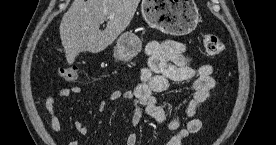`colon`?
<instances>
[{"mask_svg": "<svg viewBox=\"0 0 276 145\" xmlns=\"http://www.w3.org/2000/svg\"><path fill=\"white\" fill-rule=\"evenodd\" d=\"M202 42L206 53L209 55H218L224 50L223 42L214 34L204 33ZM59 74L65 80L71 82L77 81L80 76V72L76 67L61 68Z\"/></svg>", "mask_w": 276, "mask_h": 145, "instance_id": "5ec220e1", "label": "colon"}]
</instances>
